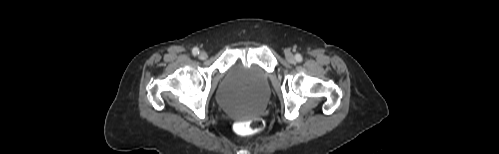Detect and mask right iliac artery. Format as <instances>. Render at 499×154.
<instances>
[{"label":"right iliac artery","instance_id":"82829eb1","mask_svg":"<svg viewBox=\"0 0 499 154\" xmlns=\"http://www.w3.org/2000/svg\"><path fill=\"white\" fill-rule=\"evenodd\" d=\"M192 53L194 56L199 54V49L197 47L193 48Z\"/></svg>","mask_w":499,"mask_h":154}]
</instances>
